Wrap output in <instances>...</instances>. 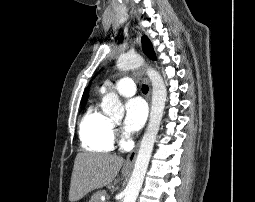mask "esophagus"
Instances as JSON below:
<instances>
[{"label":"esophagus","mask_w":255,"mask_h":202,"mask_svg":"<svg viewBox=\"0 0 255 202\" xmlns=\"http://www.w3.org/2000/svg\"><path fill=\"white\" fill-rule=\"evenodd\" d=\"M150 96H151V88L149 91V100H150ZM138 147H139V144H137L135 148L128 154L126 162H125L126 168H131L133 166L136 159L137 152H138Z\"/></svg>","instance_id":"1"}]
</instances>
